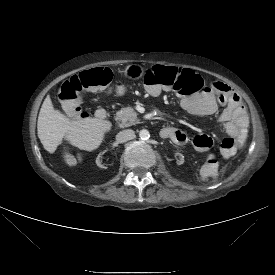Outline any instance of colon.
<instances>
[{"instance_id": "colon-1", "label": "colon", "mask_w": 275, "mask_h": 275, "mask_svg": "<svg viewBox=\"0 0 275 275\" xmlns=\"http://www.w3.org/2000/svg\"><path fill=\"white\" fill-rule=\"evenodd\" d=\"M112 78L111 70L106 67L80 72L62 83L59 99L70 105L75 119H80L84 114L80 113L79 99L89 91L107 86ZM144 81L146 91L154 97L160 96L163 89L189 95L199 92L204 86L200 76L192 70L166 66H154L147 70ZM220 149L224 157H232L237 152L238 144L235 139L227 137L222 140Z\"/></svg>"}]
</instances>
